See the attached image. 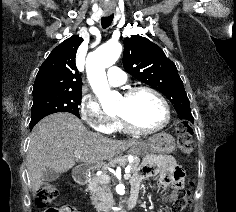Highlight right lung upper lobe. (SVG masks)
I'll use <instances>...</instances> for the list:
<instances>
[{"mask_svg": "<svg viewBox=\"0 0 236 212\" xmlns=\"http://www.w3.org/2000/svg\"><path fill=\"white\" fill-rule=\"evenodd\" d=\"M83 39L77 35L55 47L37 73L33 95L45 92H79L82 79L76 68L75 57Z\"/></svg>", "mask_w": 236, "mask_h": 212, "instance_id": "right-lung-upper-lobe-1", "label": "right lung upper lobe"}]
</instances>
